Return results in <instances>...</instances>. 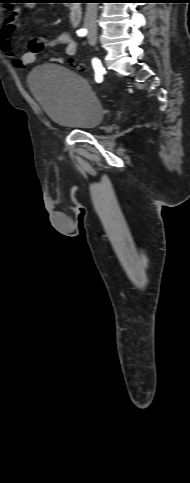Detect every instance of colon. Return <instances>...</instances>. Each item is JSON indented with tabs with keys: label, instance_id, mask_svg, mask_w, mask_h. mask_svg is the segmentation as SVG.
<instances>
[{
	"label": "colon",
	"instance_id": "obj_1",
	"mask_svg": "<svg viewBox=\"0 0 190 483\" xmlns=\"http://www.w3.org/2000/svg\"><path fill=\"white\" fill-rule=\"evenodd\" d=\"M76 68L79 69V70L83 69V67L81 65H77Z\"/></svg>",
	"mask_w": 190,
	"mask_h": 483
}]
</instances>
